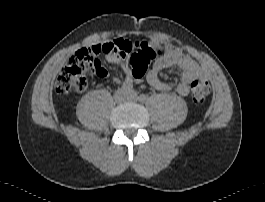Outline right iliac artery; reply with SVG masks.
Returning <instances> with one entry per match:
<instances>
[{
  "mask_svg": "<svg viewBox=\"0 0 265 202\" xmlns=\"http://www.w3.org/2000/svg\"><path fill=\"white\" fill-rule=\"evenodd\" d=\"M122 90L124 91H132L133 90V85L131 82L125 81L122 86H121Z\"/></svg>",
  "mask_w": 265,
  "mask_h": 202,
  "instance_id": "82829eb1",
  "label": "right iliac artery"
}]
</instances>
